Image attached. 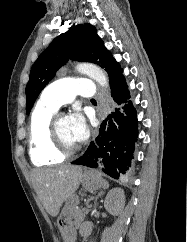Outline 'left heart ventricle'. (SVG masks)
I'll list each match as a JSON object with an SVG mask.
<instances>
[{"mask_svg": "<svg viewBox=\"0 0 187 242\" xmlns=\"http://www.w3.org/2000/svg\"><path fill=\"white\" fill-rule=\"evenodd\" d=\"M57 135L60 144L66 148L71 149L77 146V143L72 139L71 134L68 129L67 118L62 117L57 122Z\"/></svg>", "mask_w": 187, "mask_h": 242, "instance_id": "obj_1", "label": "left heart ventricle"}]
</instances>
